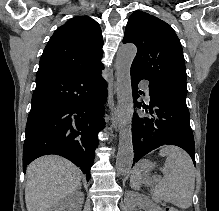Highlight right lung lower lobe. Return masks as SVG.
Returning <instances> with one entry per match:
<instances>
[{
	"mask_svg": "<svg viewBox=\"0 0 219 211\" xmlns=\"http://www.w3.org/2000/svg\"><path fill=\"white\" fill-rule=\"evenodd\" d=\"M103 64L36 74L26 124L23 170L37 157L57 154L80 167L87 178L94 162L97 134L103 128L106 83Z\"/></svg>",
	"mask_w": 219,
	"mask_h": 211,
	"instance_id": "obj_1",
	"label": "right lung lower lobe"
}]
</instances>
